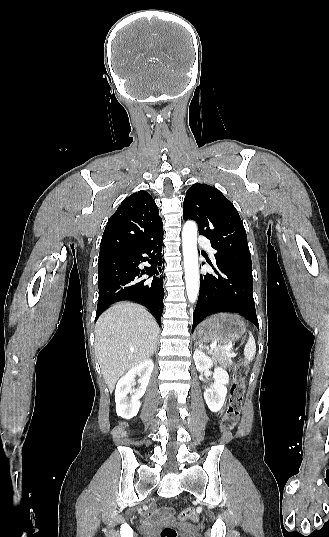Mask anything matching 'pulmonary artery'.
<instances>
[{"label":"pulmonary artery","mask_w":329,"mask_h":537,"mask_svg":"<svg viewBox=\"0 0 329 537\" xmlns=\"http://www.w3.org/2000/svg\"><path fill=\"white\" fill-rule=\"evenodd\" d=\"M198 243H199L201 246L207 248L211 253L213 252V249L211 248V246H210V242H209V240H208L207 238H205V237H203V236H200V237L198 238Z\"/></svg>","instance_id":"obj_1"}]
</instances>
